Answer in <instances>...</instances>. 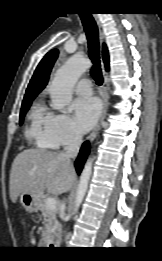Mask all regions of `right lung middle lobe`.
I'll use <instances>...</instances> for the list:
<instances>
[{
    "mask_svg": "<svg viewBox=\"0 0 162 261\" xmlns=\"http://www.w3.org/2000/svg\"><path fill=\"white\" fill-rule=\"evenodd\" d=\"M32 101L33 100H28V101H24L22 103L21 112H20V121H19L20 125L23 123L24 116H25L26 112L28 111V109L30 108Z\"/></svg>",
    "mask_w": 162,
    "mask_h": 261,
    "instance_id": "dd1d6c3e",
    "label": "right lung middle lobe"
}]
</instances>
